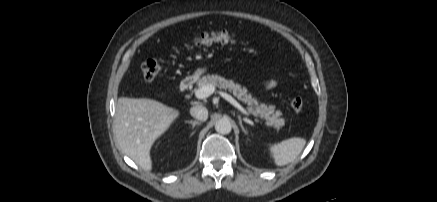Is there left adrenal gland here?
<instances>
[{
	"mask_svg": "<svg viewBox=\"0 0 437 202\" xmlns=\"http://www.w3.org/2000/svg\"><path fill=\"white\" fill-rule=\"evenodd\" d=\"M238 119H239V124H240V127H241L242 131H243L245 134H247V131L245 130V128H244L243 125H242V118H241L240 115H238Z\"/></svg>",
	"mask_w": 437,
	"mask_h": 202,
	"instance_id": "obj_1",
	"label": "left adrenal gland"
}]
</instances>
